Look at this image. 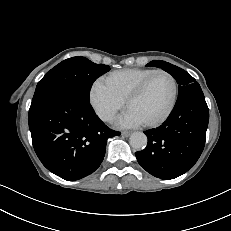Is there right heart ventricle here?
Instances as JSON below:
<instances>
[{"label": "right heart ventricle", "instance_id": "right-heart-ventricle-1", "mask_svg": "<svg viewBox=\"0 0 231 231\" xmlns=\"http://www.w3.org/2000/svg\"><path fill=\"white\" fill-rule=\"evenodd\" d=\"M154 69L150 68H127L109 73L102 82L122 101L133 89Z\"/></svg>", "mask_w": 231, "mask_h": 231}]
</instances>
